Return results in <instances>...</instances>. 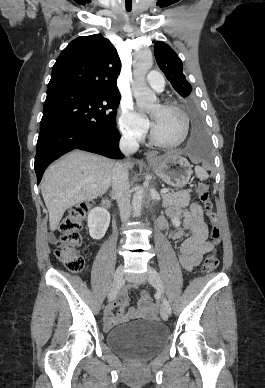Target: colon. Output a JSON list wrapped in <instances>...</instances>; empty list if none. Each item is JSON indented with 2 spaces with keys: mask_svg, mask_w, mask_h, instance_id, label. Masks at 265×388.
Masks as SVG:
<instances>
[{
  "mask_svg": "<svg viewBox=\"0 0 265 388\" xmlns=\"http://www.w3.org/2000/svg\"><path fill=\"white\" fill-rule=\"evenodd\" d=\"M197 194L204 205L206 215L211 224V240L214 244L220 243L221 232L218 226L217 214L209 196V186L205 183H199ZM92 205L81 203L71 207L59 226L60 236L58 238L56 257L72 272H79L84 268L85 259L79 247L82 243L80 230L82 223L88 215ZM218 266V256L216 251L209 252L202 263V271L210 273ZM141 299L152 304V297L146 290L140 291Z\"/></svg>",
  "mask_w": 265,
  "mask_h": 388,
  "instance_id": "colon-1",
  "label": "colon"
}]
</instances>
